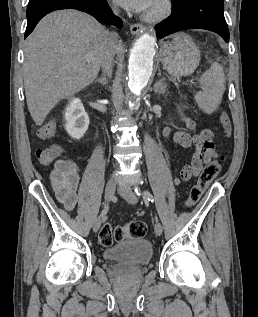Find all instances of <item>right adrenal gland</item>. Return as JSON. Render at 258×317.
Segmentation results:
<instances>
[{
  "label": "right adrenal gland",
  "mask_w": 258,
  "mask_h": 317,
  "mask_svg": "<svg viewBox=\"0 0 258 317\" xmlns=\"http://www.w3.org/2000/svg\"><path fill=\"white\" fill-rule=\"evenodd\" d=\"M95 82H100V84H103V86H105V84H107L108 80H106L105 76H101V78H97V80H95Z\"/></svg>",
  "instance_id": "1"
}]
</instances>
